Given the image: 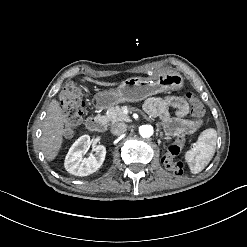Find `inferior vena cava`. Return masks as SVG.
<instances>
[{
	"label": "inferior vena cava",
	"mask_w": 247,
	"mask_h": 247,
	"mask_svg": "<svg viewBox=\"0 0 247 247\" xmlns=\"http://www.w3.org/2000/svg\"><path fill=\"white\" fill-rule=\"evenodd\" d=\"M127 131V124L123 122L114 123L111 127V133L113 135H121Z\"/></svg>",
	"instance_id": "602c4592"
}]
</instances>
